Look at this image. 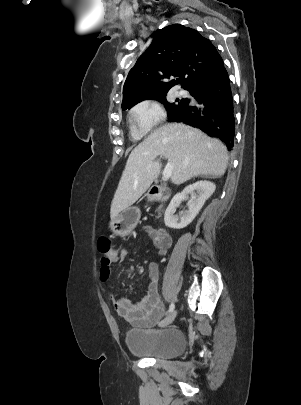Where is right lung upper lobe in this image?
Here are the masks:
<instances>
[{"label":"right lung upper lobe","instance_id":"cb5924a9","mask_svg":"<svg viewBox=\"0 0 301 405\" xmlns=\"http://www.w3.org/2000/svg\"><path fill=\"white\" fill-rule=\"evenodd\" d=\"M224 63L215 46L198 31L173 24L155 33L152 44L130 70L123 86V110L176 84L192 91L215 80ZM175 77L169 82L164 78Z\"/></svg>","mask_w":301,"mask_h":405}]
</instances>
